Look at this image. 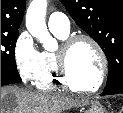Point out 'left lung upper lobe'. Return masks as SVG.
<instances>
[{"mask_svg": "<svg viewBox=\"0 0 123 113\" xmlns=\"http://www.w3.org/2000/svg\"><path fill=\"white\" fill-rule=\"evenodd\" d=\"M108 59L107 94H123V0H60Z\"/></svg>", "mask_w": 123, "mask_h": 113, "instance_id": "1", "label": "left lung upper lobe"}]
</instances>
